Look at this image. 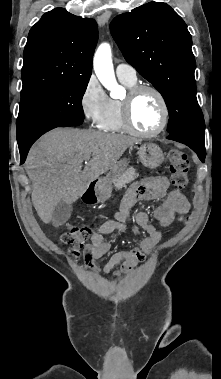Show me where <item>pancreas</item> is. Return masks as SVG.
Instances as JSON below:
<instances>
[{"mask_svg": "<svg viewBox=\"0 0 221 379\" xmlns=\"http://www.w3.org/2000/svg\"><path fill=\"white\" fill-rule=\"evenodd\" d=\"M138 177V173H136L135 169L133 167L128 168L123 173L116 176V178L113 179V183L116 189H120L126 184L130 183L131 181L135 180Z\"/></svg>", "mask_w": 221, "mask_h": 379, "instance_id": "1", "label": "pancreas"}]
</instances>
